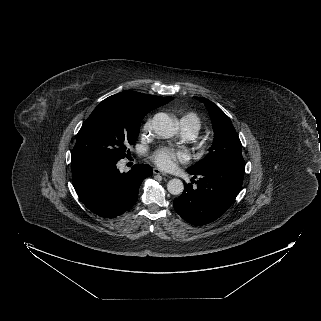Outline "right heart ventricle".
<instances>
[{"label": "right heart ventricle", "instance_id": "obj_1", "mask_svg": "<svg viewBox=\"0 0 321 321\" xmlns=\"http://www.w3.org/2000/svg\"><path fill=\"white\" fill-rule=\"evenodd\" d=\"M180 121L182 126L190 127L194 129L196 132L201 127V119L199 115L195 112H187L182 116Z\"/></svg>", "mask_w": 321, "mask_h": 321}]
</instances>
